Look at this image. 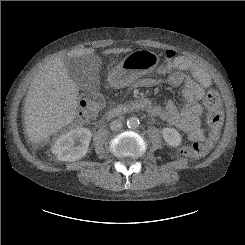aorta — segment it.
<instances>
[{
	"label": "aorta",
	"mask_w": 245,
	"mask_h": 245,
	"mask_svg": "<svg viewBox=\"0 0 245 245\" xmlns=\"http://www.w3.org/2000/svg\"><path fill=\"white\" fill-rule=\"evenodd\" d=\"M127 126L129 128H132V129L137 128L139 126V120H138V118H136V117H130L127 120Z\"/></svg>",
	"instance_id": "obj_1"
}]
</instances>
